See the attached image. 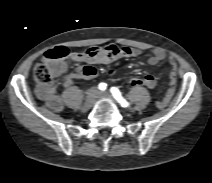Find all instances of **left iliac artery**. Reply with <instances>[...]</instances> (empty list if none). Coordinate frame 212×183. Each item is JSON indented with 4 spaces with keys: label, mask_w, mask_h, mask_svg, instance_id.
<instances>
[{
    "label": "left iliac artery",
    "mask_w": 212,
    "mask_h": 183,
    "mask_svg": "<svg viewBox=\"0 0 212 183\" xmlns=\"http://www.w3.org/2000/svg\"><path fill=\"white\" fill-rule=\"evenodd\" d=\"M112 96L121 104L122 107L129 106V103L122 97L121 92L116 88H111Z\"/></svg>",
    "instance_id": "44dca946"
}]
</instances>
